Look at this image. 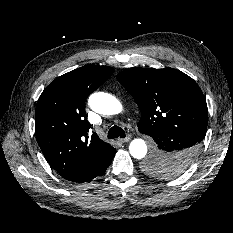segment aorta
<instances>
[{
  "label": "aorta",
  "instance_id": "762f6f07",
  "mask_svg": "<svg viewBox=\"0 0 233 233\" xmlns=\"http://www.w3.org/2000/svg\"><path fill=\"white\" fill-rule=\"evenodd\" d=\"M89 106L97 113L114 115L122 111V104L111 94L104 92L93 93L88 100ZM129 152L132 157L142 159L147 154V144L141 138L134 139L129 145Z\"/></svg>",
  "mask_w": 233,
  "mask_h": 233
}]
</instances>
